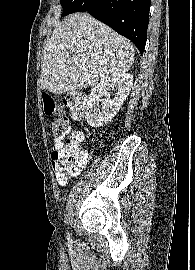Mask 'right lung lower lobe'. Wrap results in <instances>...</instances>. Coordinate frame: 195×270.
<instances>
[{"instance_id": "obj_1", "label": "right lung lower lobe", "mask_w": 195, "mask_h": 270, "mask_svg": "<svg viewBox=\"0 0 195 270\" xmlns=\"http://www.w3.org/2000/svg\"><path fill=\"white\" fill-rule=\"evenodd\" d=\"M151 0H79L74 12H88L130 39L142 54L147 40Z\"/></svg>"}]
</instances>
